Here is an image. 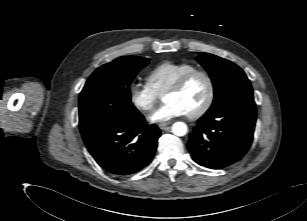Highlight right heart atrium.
<instances>
[{
  "instance_id": "d8ad5b80",
  "label": "right heart atrium",
  "mask_w": 307,
  "mask_h": 221,
  "mask_svg": "<svg viewBox=\"0 0 307 221\" xmlns=\"http://www.w3.org/2000/svg\"><path fill=\"white\" fill-rule=\"evenodd\" d=\"M131 104L139 111L150 112L160 99V96L147 83H133L129 88Z\"/></svg>"
}]
</instances>
